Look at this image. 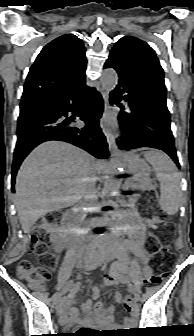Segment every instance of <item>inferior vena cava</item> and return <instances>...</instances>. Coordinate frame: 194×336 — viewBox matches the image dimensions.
Here are the masks:
<instances>
[{"label":"inferior vena cava","mask_w":194,"mask_h":336,"mask_svg":"<svg viewBox=\"0 0 194 336\" xmlns=\"http://www.w3.org/2000/svg\"><path fill=\"white\" fill-rule=\"evenodd\" d=\"M98 163L97 162H90L88 166V171L93 175L88 180L86 193L84 196V204L89 207H95L97 206V190L95 188V183L97 180V176L99 175V172L97 171Z\"/></svg>","instance_id":"inferior-vena-cava-1"}]
</instances>
